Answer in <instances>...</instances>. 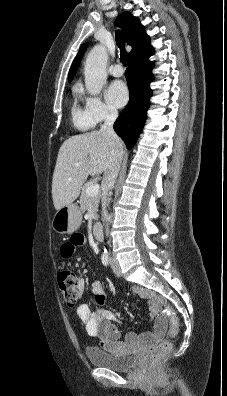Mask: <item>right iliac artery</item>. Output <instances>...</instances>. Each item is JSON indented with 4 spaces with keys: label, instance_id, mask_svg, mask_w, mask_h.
Here are the masks:
<instances>
[{
    "label": "right iliac artery",
    "instance_id": "1",
    "mask_svg": "<svg viewBox=\"0 0 227 396\" xmlns=\"http://www.w3.org/2000/svg\"><path fill=\"white\" fill-rule=\"evenodd\" d=\"M101 261L103 265L108 266L110 262L108 254H103L101 257Z\"/></svg>",
    "mask_w": 227,
    "mask_h": 396
}]
</instances>
